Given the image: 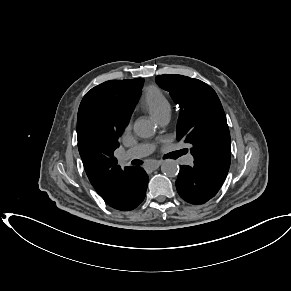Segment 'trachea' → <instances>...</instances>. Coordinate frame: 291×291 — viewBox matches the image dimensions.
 <instances>
[{"label":"trachea","mask_w":291,"mask_h":291,"mask_svg":"<svg viewBox=\"0 0 291 291\" xmlns=\"http://www.w3.org/2000/svg\"><path fill=\"white\" fill-rule=\"evenodd\" d=\"M184 153H185L184 151H180V152H179L180 155H182V154H184ZM135 164H138V163H135Z\"/></svg>","instance_id":"3493384b"}]
</instances>
